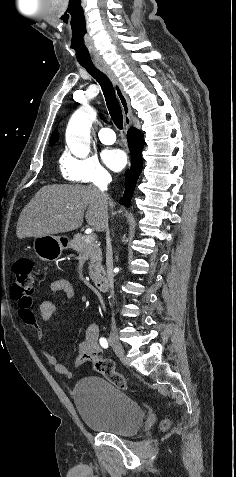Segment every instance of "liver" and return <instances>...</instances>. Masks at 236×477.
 Here are the masks:
<instances>
[{
	"label": "liver",
	"instance_id": "6515ba94",
	"mask_svg": "<svg viewBox=\"0 0 236 477\" xmlns=\"http://www.w3.org/2000/svg\"><path fill=\"white\" fill-rule=\"evenodd\" d=\"M103 209L101 194L92 186L47 185L22 210L16 234L23 239L73 231L82 225L85 211L88 225L103 231Z\"/></svg>",
	"mask_w": 236,
	"mask_h": 477
}]
</instances>
